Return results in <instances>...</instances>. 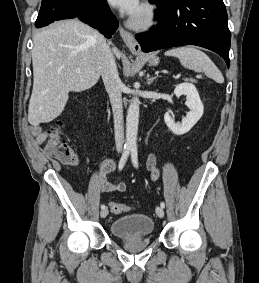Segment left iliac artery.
Segmentation results:
<instances>
[{
  "label": "left iliac artery",
  "instance_id": "left-iliac-artery-1",
  "mask_svg": "<svg viewBox=\"0 0 259 283\" xmlns=\"http://www.w3.org/2000/svg\"><path fill=\"white\" fill-rule=\"evenodd\" d=\"M131 159H132V163L134 165L135 168H138V150H137V147L136 146H133L131 148ZM160 206L162 208H165V203L164 202H161L160 203Z\"/></svg>",
  "mask_w": 259,
  "mask_h": 283
}]
</instances>
